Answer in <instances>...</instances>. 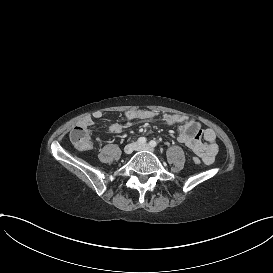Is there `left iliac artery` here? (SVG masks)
I'll return each mask as SVG.
<instances>
[{"mask_svg":"<svg viewBox=\"0 0 273 273\" xmlns=\"http://www.w3.org/2000/svg\"><path fill=\"white\" fill-rule=\"evenodd\" d=\"M149 145L151 147H155V146H157V142L155 140H152V141L149 142Z\"/></svg>","mask_w":273,"mask_h":273,"instance_id":"obj_1","label":"left iliac artery"}]
</instances>
